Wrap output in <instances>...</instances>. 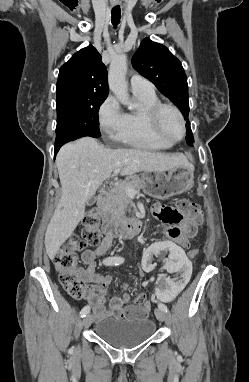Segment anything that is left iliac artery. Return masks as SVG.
<instances>
[{
  "instance_id": "44dca946",
  "label": "left iliac artery",
  "mask_w": 249,
  "mask_h": 382,
  "mask_svg": "<svg viewBox=\"0 0 249 382\" xmlns=\"http://www.w3.org/2000/svg\"><path fill=\"white\" fill-rule=\"evenodd\" d=\"M158 308L159 309H161V310H163V311H165V312H167V306H165L164 304H162V303H158Z\"/></svg>"
}]
</instances>
